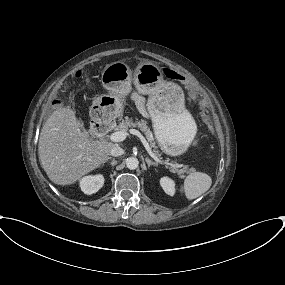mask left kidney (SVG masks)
Masks as SVG:
<instances>
[{
  "label": "left kidney",
  "mask_w": 285,
  "mask_h": 285,
  "mask_svg": "<svg viewBox=\"0 0 285 285\" xmlns=\"http://www.w3.org/2000/svg\"><path fill=\"white\" fill-rule=\"evenodd\" d=\"M160 185L166 194L173 196L175 193L174 181L168 177H163L160 179Z\"/></svg>",
  "instance_id": "5707ae66"
}]
</instances>
